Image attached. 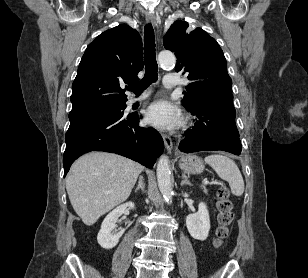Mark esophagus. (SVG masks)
I'll return each instance as SVG.
<instances>
[{"mask_svg": "<svg viewBox=\"0 0 308 278\" xmlns=\"http://www.w3.org/2000/svg\"><path fill=\"white\" fill-rule=\"evenodd\" d=\"M146 20H147V22L151 23L153 26L156 25L155 17H154L153 14L147 13L146 14ZM162 138H163V141H164L165 148H166L167 152L171 153V151L173 149L172 139L167 134H162Z\"/></svg>", "mask_w": 308, "mask_h": 278, "instance_id": "34e87169", "label": "esophagus"}]
</instances>
